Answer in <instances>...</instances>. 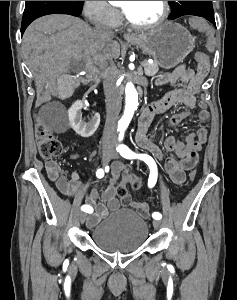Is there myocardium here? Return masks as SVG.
<instances>
[{
	"mask_svg": "<svg viewBox=\"0 0 237 300\" xmlns=\"http://www.w3.org/2000/svg\"><path fill=\"white\" fill-rule=\"evenodd\" d=\"M161 3H162V13H161L160 17L152 23L137 24L133 20L130 19V17L126 14L125 11H123L124 18H125L126 22L132 28L137 29V30H152V29L158 28L165 23V21L167 20V18L169 16V13H170L169 1H161Z\"/></svg>",
	"mask_w": 237,
	"mask_h": 300,
	"instance_id": "obj_1",
	"label": "myocardium"
}]
</instances>
